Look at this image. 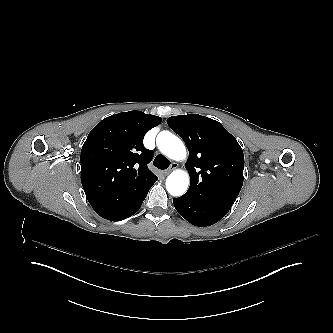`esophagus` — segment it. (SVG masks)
Segmentation results:
<instances>
[{"label": "esophagus", "instance_id": "esophagus-1", "mask_svg": "<svg viewBox=\"0 0 333 333\" xmlns=\"http://www.w3.org/2000/svg\"><path fill=\"white\" fill-rule=\"evenodd\" d=\"M178 167V164L176 162H173L171 166L164 172L165 175H168L172 170L176 169Z\"/></svg>", "mask_w": 333, "mask_h": 333}]
</instances>
